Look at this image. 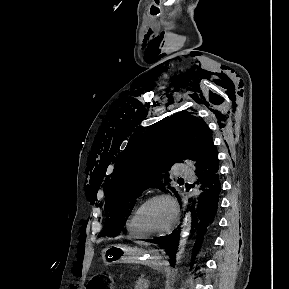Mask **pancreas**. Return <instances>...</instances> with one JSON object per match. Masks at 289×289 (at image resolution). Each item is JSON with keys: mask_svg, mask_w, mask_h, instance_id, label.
Here are the masks:
<instances>
[{"mask_svg": "<svg viewBox=\"0 0 289 289\" xmlns=\"http://www.w3.org/2000/svg\"><path fill=\"white\" fill-rule=\"evenodd\" d=\"M149 280L147 278H144V276H141L139 280L136 283L135 289H145L144 285H148Z\"/></svg>", "mask_w": 289, "mask_h": 289, "instance_id": "1", "label": "pancreas"}]
</instances>
